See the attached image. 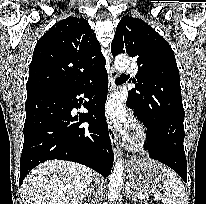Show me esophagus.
<instances>
[{
  "instance_id": "1",
  "label": "esophagus",
  "mask_w": 206,
  "mask_h": 204,
  "mask_svg": "<svg viewBox=\"0 0 206 204\" xmlns=\"http://www.w3.org/2000/svg\"><path fill=\"white\" fill-rule=\"evenodd\" d=\"M117 77H118V73L112 67L110 70V73H109V93H112L115 90V88H116L115 81H116ZM108 130H109V136H110L113 151H114L115 155L119 157V156H121L122 152H121V149L119 147L118 138H117L116 132L113 128L111 121H108Z\"/></svg>"
}]
</instances>
